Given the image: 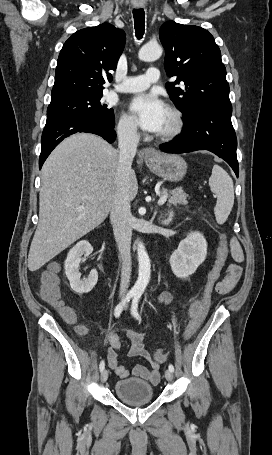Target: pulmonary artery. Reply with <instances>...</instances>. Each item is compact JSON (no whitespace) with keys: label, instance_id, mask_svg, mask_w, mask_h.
Wrapping results in <instances>:
<instances>
[{"label":"pulmonary artery","instance_id":"pulmonary-artery-1","mask_svg":"<svg viewBox=\"0 0 272 455\" xmlns=\"http://www.w3.org/2000/svg\"><path fill=\"white\" fill-rule=\"evenodd\" d=\"M159 70L150 67L144 75L127 77L124 81L115 87L116 92L132 93L147 89L152 83L159 80Z\"/></svg>","mask_w":272,"mask_h":455}]
</instances>
